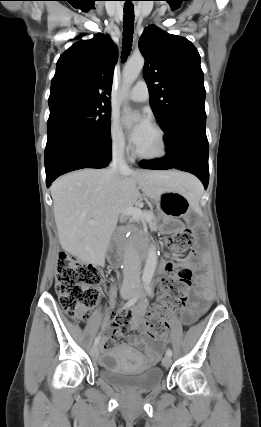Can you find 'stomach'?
Wrapping results in <instances>:
<instances>
[{
  "label": "stomach",
  "instance_id": "obj_1",
  "mask_svg": "<svg viewBox=\"0 0 261 427\" xmlns=\"http://www.w3.org/2000/svg\"><path fill=\"white\" fill-rule=\"evenodd\" d=\"M156 206L162 218H180L190 211L191 200L184 192L168 190L156 199Z\"/></svg>",
  "mask_w": 261,
  "mask_h": 427
}]
</instances>
